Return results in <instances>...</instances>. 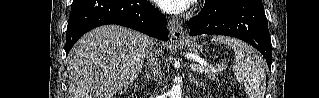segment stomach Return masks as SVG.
<instances>
[{
	"mask_svg": "<svg viewBox=\"0 0 319 98\" xmlns=\"http://www.w3.org/2000/svg\"><path fill=\"white\" fill-rule=\"evenodd\" d=\"M180 45L187 48L190 52L193 53L202 52L201 45H198L195 39L186 38L180 42Z\"/></svg>",
	"mask_w": 319,
	"mask_h": 98,
	"instance_id": "obj_1",
	"label": "stomach"
}]
</instances>
